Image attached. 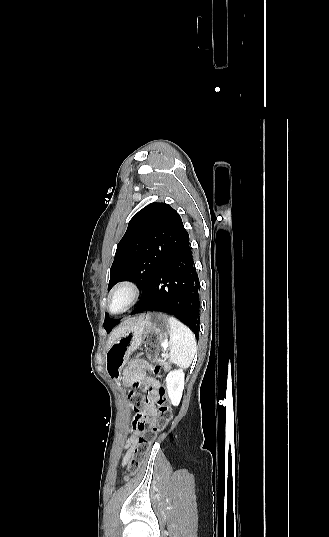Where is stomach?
Wrapping results in <instances>:
<instances>
[{"label": "stomach", "instance_id": "stomach-1", "mask_svg": "<svg viewBox=\"0 0 329 537\" xmlns=\"http://www.w3.org/2000/svg\"><path fill=\"white\" fill-rule=\"evenodd\" d=\"M169 316L163 313H145L133 321L108 348L105 356L106 371L111 378H120L122 368L131 353L137 349L144 337L152 334L157 342L165 341L170 335Z\"/></svg>", "mask_w": 329, "mask_h": 537}]
</instances>
